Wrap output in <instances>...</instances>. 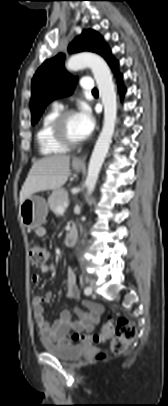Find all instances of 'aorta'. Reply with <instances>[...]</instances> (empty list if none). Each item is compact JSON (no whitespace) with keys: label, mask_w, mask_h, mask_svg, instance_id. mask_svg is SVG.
<instances>
[{"label":"aorta","mask_w":168,"mask_h":406,"mask_svg":"<svg viewBox=\"0 0 168 406\" xmlns=\"http://www.w3.org/2000/svg\"><path fill=\"white\" fill-rule=\"evenodd\" d=\"M85 67H89L93 73L104 106L103 128L94 146L85 182L87 193L90 195L95 188L115 130L117 100L110 69L102 57L93 53H80L70 57L66 63V69L69 71H77Z\"/></svg>","instance_id":"1"}]
</instances>
